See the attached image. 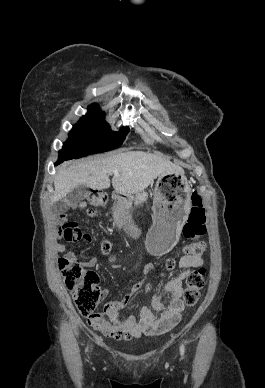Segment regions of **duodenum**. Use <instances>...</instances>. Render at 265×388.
Segmentation results:
<instances>
[{"mask_svg": "<svg viewBox=\"0 0 265 388\" xmlns=\"http://www.w3.org/2000/svg\"><path fill=\"white\" fill-rule=\"evenodd\" d=\"M114 198H115L117 201L122 202V201H124V200L126 199V196H125L124 194H122V193H116V194L114 195Z\"/></svg>", "mask_w": 265, "mask_h": 388, "instance_id": "duodenum-1", "label": "duodenum"}]
</instances>
